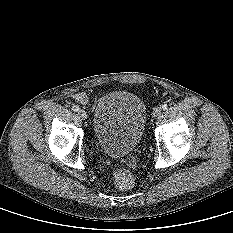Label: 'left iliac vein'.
<instances>
[{
    "label": "left iliac vein",
    "instance_id": "obj_1",
    "mask_svg": "<svg viewBox=\"0 0 233 233\" xmlns=\"http://www.w3.org/2000/svg\"><path fill=\"white\" fill-rule=\"evenodd\" d=\"M161 113V108L160 107H156L153 110V117H157L158 115H160Z\"/></svg>",
    "mask_w": 233,
    "mask_h": 233
}]
</instances>
